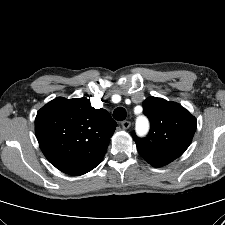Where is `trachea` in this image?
<instances>
[{"instance_id": "obj_1", "label": "trachea", "mask_w": 225, "mask_h": 225, "mask_svg": "<svg viewBox=\"0 0 225 225\" xmlns=\"http://www.w3.org/2000/svg\"><path fill=\"white\" fill-rule=\"evenodd\" d=\"M126 110L123 107H118L113 112V118L117 121L126 119Z\"/></svg>"}]
</instances>
